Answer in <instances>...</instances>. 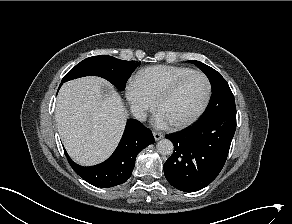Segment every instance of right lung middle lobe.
Here are the masks:
<instances>
[{
    "label": "right lung middle lobe",
    "instance_id": "dd1d6c3e",
    "mask_svg": "<svg viewBox=\"0 0 292 224\" xmlns=\"http://www.w3.org/2000/svg\"><path fill=\"white\" fill-rule=\"evenodd\" d=\"M139 65L140 62L123 61L107 55L89 57L73 67L64 76L61 83L83 76L95 75L105 78L118 90L123 91L130 75Z\"/></svg>",
    "mask_w": 292,
    "mask_h": 224
}]
</instances>
